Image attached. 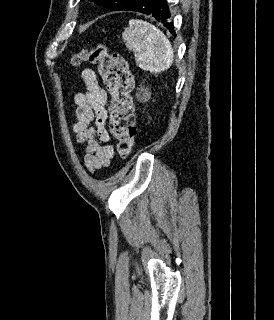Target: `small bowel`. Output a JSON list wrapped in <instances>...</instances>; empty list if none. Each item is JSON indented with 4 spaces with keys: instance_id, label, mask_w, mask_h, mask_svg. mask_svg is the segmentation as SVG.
<instances>
[{
    "instance_id": "1",
    "label": "small bowel",
    "mask_w": 274,
    "mask_h": 320,
    "mask_svg": "<svg viewBox=\"0 0 274 320\" xmlns=\"http://www.w3.org/2000/svg\"><path fill=\"white\" fill-rule=\"evenodd\" d=\"M81 81L85 90L74 97L76 120L71 129L77 145L87 144L84 163L88 170L95 171L108 166L115 155L106 129L108 94L91 68L82 70Z\"/></svg>"
}]
</instances>
